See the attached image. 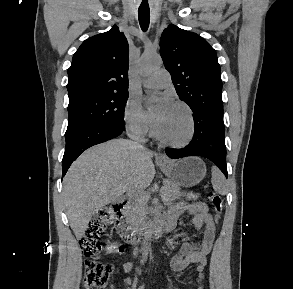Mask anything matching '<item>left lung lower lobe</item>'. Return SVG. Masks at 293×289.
Listing matches in <instances>:
<instances>
[{
  "label": "left lung lower lobe",
  "mask_w": 293,
  "mask_h": 289,
  "mask_svg": "<svg viewBox=\"0 0 293 289\" xmlns=\"http://www.w3.org/2000/svg\"><path fill=\"white\" fill-rule=\"evenodd\" d=\"M193 118L195 132L192 141L182 149H167L166 154L172 159L186 156L208 158L227 177L223 113L200 110L194 113Z\"/></svg>",
  "instance_id": "1"
}]
</instances>
